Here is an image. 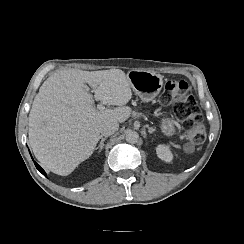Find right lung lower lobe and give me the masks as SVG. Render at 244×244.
I'll return each mask as SVG.
<instances>
[{
    "instance_id": "obj_1",
    "label": "right lung lower lobe",
    "mask_w": 244,
    "mask_h": 244,
    "mask_svg": "<svg viewBox=\"0 0 244 244\" xmlns=\"http://www.w3.org/2000/svg\"><path fill=\"white\" fill-rule=\"evenodd\" d=\"M34 164H35V166H36V168L44 175V176H46V173H45V171L36 163V162H34Z\"/></svg>"
}]
</instances>
